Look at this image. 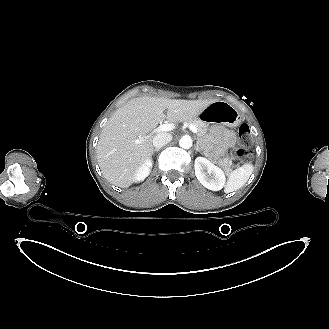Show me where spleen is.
Segmentation results:
<instances>
[{
	"mask_svg": "<svg viewBox=\"0 0 329 329\" xmlns=\"http://www.w3.org/2000/svg\"><path fill=\"white\" fill-rule=\"evenodd\" d=\"M252 172V164H244L243 166L232 171L229 174L228 181L225 186V193H230L241 188L247 182Z\"/></svg>",
	"mask_w": 329,
	"mask_h": 329,
	"instance_id": "1",
	"label": "spleen"
}]
</instances>
